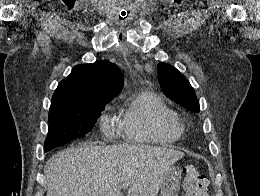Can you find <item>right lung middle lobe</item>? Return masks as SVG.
<instances>
[{"label": "right lung middle lobe", "mask_w": 260, "mask_h": 196, "mask_svg": "<svg viewBox=\"0 0 260 196\" xmlns=\"http://www.w3.org/2000/svg\"><path fill=\"white\" fill-rule=\"evenodd\" d=\"M108 102L55 105L49 111V129L45 151L62 146L90 132Z\"/></svg>", "instance_id": "obj_1"}]
</instances>
